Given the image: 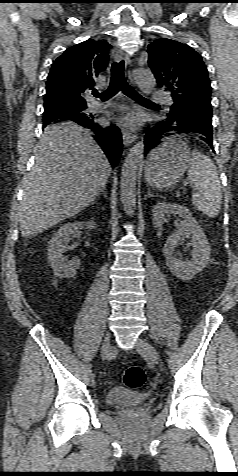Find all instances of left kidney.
<instances>
[{
    "mask_svg": "<svg viewBox=\"0 0 238 476\" xmlns=\"http://www.w3.org/2000/svg\"><path fill=\"white\" fill-rule=\"evenodd\" d=\"M152 212L153 225L159 229L167 222L168 215H178L182 219L177 230L166 240L163 254L166 257V265L173 275L185 281L191 280L210 260V245L202 228L191 212L182 205L157 202ZM187 237H191L194 249L191 251L192 258L182 261L174 255V249Z\"/></svg>",
    "mask_w": 238,
    "mask_h": 476,
    "instance_id": "left-kidney-1",
    "label": "left kidney"
}]
</instances>
